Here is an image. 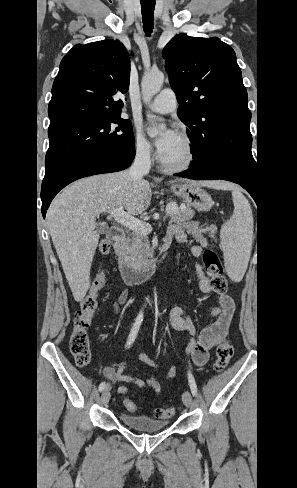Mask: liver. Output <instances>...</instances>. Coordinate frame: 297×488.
Here are the masks:
<instances>
[{"label":"liver","instance_id":"obj_1","mask_svg":"<svg viewBox=\"0 0 297 488\" xmlns=\"http://www.w3.org/2000/svg\"><path fill=\"white\" fill-rule=\"evenodd\" d=\"M203 185L217 188L213 182ZM151 197L150 183L133 180L125 170L78 180L52 201L47 224L75 301H82L90 287L91 264L100 238L96 217L119 207L130 215L142 214L149 208Z\"/></svg>","mask_w":297,"mask_h":488}]
</instances>
